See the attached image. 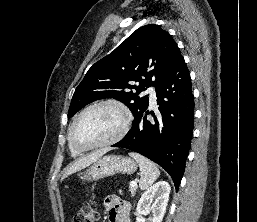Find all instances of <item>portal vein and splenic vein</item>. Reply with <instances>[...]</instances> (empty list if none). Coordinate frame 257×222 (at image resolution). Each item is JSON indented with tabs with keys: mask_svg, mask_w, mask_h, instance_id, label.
Wrapping results in <instances>:
<instances>
[{
	"mask_svg": "<svg viewBox=\"0 0 257 222\" xmlns=\"http://www.w3.org/2000/svg\"><path fill=\"white\" fill-rule=\"evenodd\" d=\"M130 186H132V187L137 186V182L136 181H131Z\"/></svg>",
	"mask_w": 257,
	"mask_h": 222,
	"instance_id": "18ae733b",
	"label": "portal vein and splenic vein"
}]
</instances>
